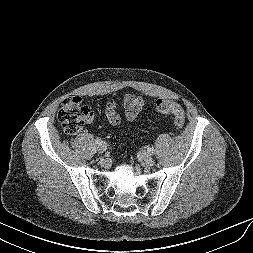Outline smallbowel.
Wrapping results in <instances>:
<instances>
[{"label": "small bowel", "mask_w": 253, "mask_h": 253, "mask_svg": "<svg viewBox=\"0 0 253 253\" xmlns=\"http://www.w3.org/2000/svg\"><path fill=\"white\" fill-rule=\"evenodd\" d=\"M144 101L140 96L128 93L121 100H111L105 107V115L109 123L113 126L120 124L121 117L118 113V108L122 107L125 110V119L132 122L140 113Z\"/></svg>", "instance_id": "c3829d8e"}]
</instances>
